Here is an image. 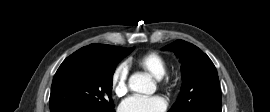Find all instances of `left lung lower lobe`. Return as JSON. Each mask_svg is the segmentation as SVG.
I'll return each instance as SVG.
<instances>
[{"mask_svg":"<svg viewBox=\"0 0 270 112\" xmlns=\"http://www.w3.org/2000/svg\"><path fill=\"white\" fill-rule=\"evenodd\" d=\"M190 112H210V111H203V110H199V109H193Z\"/></svg>","mask_w":270,"mask_h":112,"instance_id":"left-lung-lower-lobe-1","label":"left lung lower lobe"}]
</instances>
